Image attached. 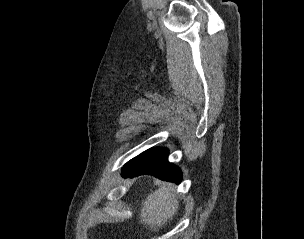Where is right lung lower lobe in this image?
I'll use <instances>...</instances> for the list:
<instances>
[{
	"instance_id": "obj_1",
	"label": "right lung lower lobe",
	"mask_w": 304,
	"mask_h": 239,
	"mask_svg": "<svg viewBox=\"0 0 304 239\" xmlns=\"http://www.w3.org/2000/svg\"><path fill=\"white\" fill-rule=\"evenodd\" d=\"M167 156L166 148L149 149L127 162L123 174L126 177L150 174L161 180L180 183L182 172L168 162Z\"/></svg>"
}]
</instances>
